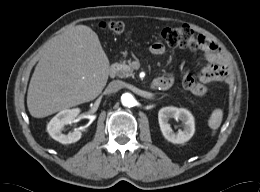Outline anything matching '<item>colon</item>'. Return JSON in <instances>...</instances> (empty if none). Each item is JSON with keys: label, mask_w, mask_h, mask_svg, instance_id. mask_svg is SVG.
<instances>
[{"label": "colon", "mask_w": 260, "mask_h": 192, "mask_svg": "<svg viewBox=\"0 0 260 192\" xmlns=\"http://www.w3.org/2000/svg\"><path fill=\"white\" fill-rule=\"evenodd\" d=\"M100 27L116 35H127L128 30L122 22H103ZM161 40L170 46L186 47L191 49H201L202 39L196 36L191 28L187 26L176 28H164L159 34ZM183 85L189 91L196 90V81L191 74H185Z\"/></svg>", "instance_id": "5ec220e1"}]
</instances>
